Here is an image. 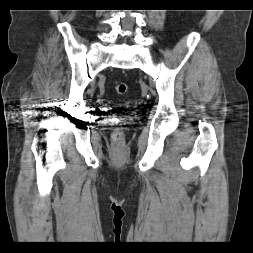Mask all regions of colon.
<instances>
[{
  "instance_id": "5ec220e1",
  "label": "colon",
  "mask_w": 253,
  "mask_h": 253,
  "mask_svg": "<svg viewBox=\"0 0 253 253\" xmlns=\"http://www.w3.org/2000/svg\"><path fill=\"white\" fill-rule=\"evenodd\" d=\"M113 88L116 93L124 94L127 91V84L122 80L114 82ZM112 139L116 143H120L123 140V132L121 129H116L112 134Z\"/></svg>"
}]
</instances>
